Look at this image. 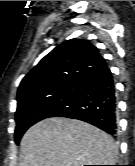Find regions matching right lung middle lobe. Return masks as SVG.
<instances>
[{
    "instance_id": "obj_1",
    "label": "right lung middle lobe",
    "mask_w": 135,
    "mask_h": 166,
    "mask_svg": "<svg viewBox=\"0 0 135 166\" xmlns=\"http://www.w3.org/2000/svg\"><path fill=\"white\" fill-rule=\"evenodd\" d=\"M73 97V87L61 88L52 94L19 105L16 110L15 142L33 124L51 117L58 110L66 108Z\"/></svg>"
}]
</instances>
